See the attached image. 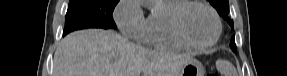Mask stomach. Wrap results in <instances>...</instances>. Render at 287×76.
I'll use <instances>...</instances> for the list:
<instances>
[{
	"mask_svg": "<svg viewBox=\"0 0 287 76\" xmlns=\"http://www.w3.org/2000/svg\"><path fill=\"white\" fill-rule=\"evenodd\" d=\"M179 76H204L202 63L194 58L187 61Z\"/></svg>",
	"mask_w": 287,
	"mask_h": 76,
	"instance_id": "stomach-1",
	"label": "stomach"
}]
</instances>
